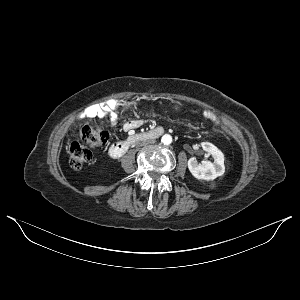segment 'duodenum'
I'll return each instance as SVG.
<instances>
[{
  "instance_id": "410a0bca",
  "label": "duodenum",
  "mask_w": 300,
  "mask_h": 300,
  "mask_svg": "<svg viewBox=\"0 0 300 300\" xmlns=\"http://www.w3.org/2000/svg\"><path fill=\"white\" fill-rule=\"evenodd\" d=\"M162 132L159 129H153L149 132L145 133H132L130 134L125 140L114 143L111 145L108 149V154L112 158H119L123 154L126 153V151L136 144L137 142L141 141L144 138H155L158 135H160Z\"/></svg>"
}]
</instances>
